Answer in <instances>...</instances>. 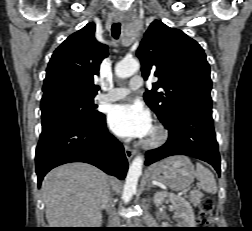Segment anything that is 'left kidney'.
I'll return each instance as SVG.
<instances>
[{
  "label": "left kidney",
  "mask_w": 252,
  "mask_h": 231,
  "mask_svg": "<svg viewBox=\"0 0 252 231\" xmlns=\"http://www.w3.org/2000/svg\"><path fill=\"white\" fill-rule=\"evenodd\" d=\"M172 203L174 214L180 219L181 228H195V216L190 203L183 197L167 192H156L153 197L154 204L159 207L166 198Z\"/></svg>",
  "instance_id": "1"
}]
</instances>
